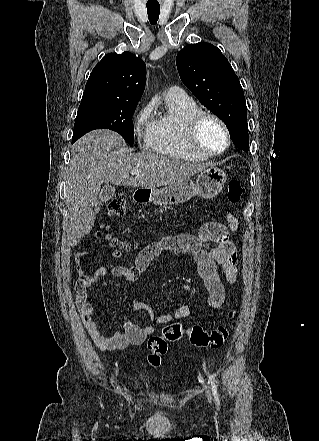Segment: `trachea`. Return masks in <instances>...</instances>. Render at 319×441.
I'll return each instance as SVG.
<instances>
[{"instance_id": "1", "label": "trachea", "mask_w": 319, "mask_h": 441, "mask_svg": "<svg viewBox=\"0 0 319 441\" xmlns=\"http://www.w3.org/2000/svg\"><path fill=\"white\" fill-rule=\"evenodd\" d=\"M148 19L152 25L156 24L159 19L160 7L147 6Z\"/></svg>"}]
</instances>
